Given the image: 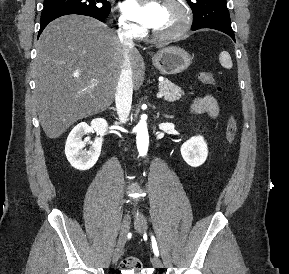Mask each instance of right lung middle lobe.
Here are the masks:
<instances>
[{"label": "right lung middle lobe", "mask_w": 289, "mask_h": 274, "mask_svg": "<svg viewBox=\"0 0 289 274\" xmlns=\"http://www.w3.org/2000/svg\"><path fill=\"white\" fill-rule=\"evenodd\" d=\"M110 9L111 6L107 0H44L41 16L65 11H78L107 17Z\"/></svg>", "instance_id": "1"}]
</instances>
